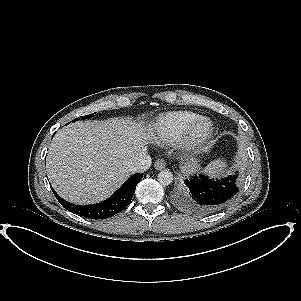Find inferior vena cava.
<instances>
[{
	"instance_id": "obj_1",
	"label": "inferior vena cava",
	"mask_w": 301,
	"mask_h": 301,
	"mask_svg": "<svg viewBox=\"0 0 301 301\" xmlns=\"http://www.w3.org/2000/svg\"><path fill=\"white\" fill-rule=\"evenodd\" d=\"M152 163V159L150 155L147 153L144 154L141 158H139L133 165L130 167L131 173H144L147 171Z\"/></svg>"
}]
</instances>
